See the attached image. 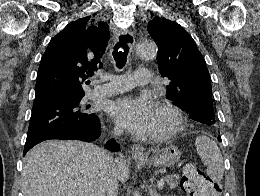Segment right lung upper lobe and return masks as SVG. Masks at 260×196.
I'll return each mask as SVG.
<instances>
[{"mask_svg": "<svg viewBox=\"0 0 260 196\" xmlns=\"http://www.w3.org/2000/svg\"><path fill=\"white\" fill-rule=\"evenodd\" d=\"M89 20L73 21L51 39L39 65L33 105L84 94L82 84L102 67L100 58L108 44L109 28L105 22L89 26Z\"/></svg>", "mask_w": 260, "mask_h": 196, "instance_id": "right-lung-upper-lobe-1", "label": "right lung upper lobe"}]
</instances>
